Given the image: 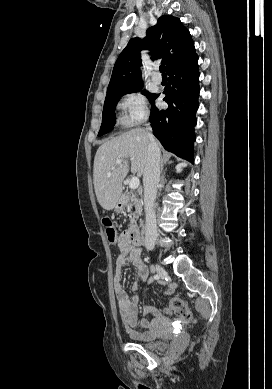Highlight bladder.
<instances>
[{
	"label": "bladder",
	"instance_id": "31cf9c89",
	"mask_svg": "<svg viewBox=\"0 0 272 389\" xmlns=\"http://www.w3.org/2000/svg\"><path fill=\"white\" fill-rule=\"evenodd\" d=\"M142 346L149 349H163L167 346V340L165 339H155L147 340L142 342Z\"/></svg>",
	"mask_w": 272,
	"mask_h": 389
}]
</instances>
